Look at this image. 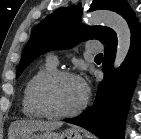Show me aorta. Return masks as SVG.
Segmentation results:
<instances>
[{
  "label": "aorta",
  "instance_id": "762f6f07",
  "mask_svg": "<svg viewBox=\"0 0 141 139\" xmlns=\"http://www.w3.org/2000/svg\"><path fill=\"white\" fill-rule=\"evenodd\" d=\"M86 21L90 25L103 24L115 31L117 51L114 68L117 69L125 60L131 44V32L126 20L115 12L95 11L87 16Z\"/></svg>",
  "mask_w": 141,
  "mask_h": 139
}]
</instances>
